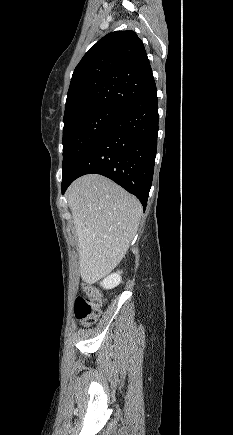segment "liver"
Masks as SVG:
<instances>
[{
	"instance_id": "liver-1",
	"label": "liver",
	"mask_w": 233,
	"mask_h": 435,
	"mask_svg": "<svg viewBox=\"0 0 233 435\" xmlns=\"http://www.w3.org/2000/svg\"><path fill=\"white\" fill-rule=\"evenodd\" d=\"M79 246L82 280L94 282L125 257L142 214L139 200L97 174L85 175L67 190Z\"/></svg>"
}]
</instances>
